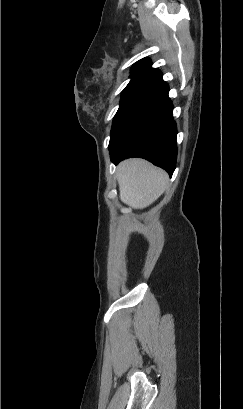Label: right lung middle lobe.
<instances>
[{"label": "right lung middle lobe", "instance_id": "1", "mask_svg": "<svg viewBox=\"0 0 243 409\" xmlns=\"http://www.w3.org/2000/svg\"><path fill=\"white\" fill-rule=\"evenodd\" d=\"M162 81L154 79H133L122 91L120 107L114 116L110 135V143L115 139L118 132L131 114L139 105L160 85Z\"/></svg>", "mask_w": 243, "mask_h": 409}]
</instances>
